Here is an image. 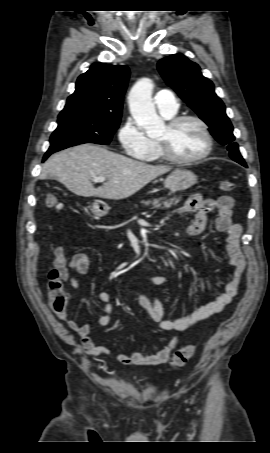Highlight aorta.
<instances>
[{"label":"aorta","instance_id":"762f6f07","mask_svg":"<svg viewBox=\"0 0 270 453\" xmlns=\"http://www.w3.org/2000/svg\"><path fill=\"white\" fill-rule=\"evenodd\" d=\"M152 90V81L142 78L135 83L128 96L130 112L148 136L160 134L164 129V122L156 113L152 101Z\"/></svg>","mask_w":270,"mask_h":453}]
</instances>
